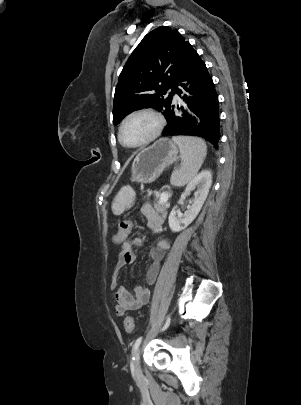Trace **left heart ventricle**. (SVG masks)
<instances>
[{"label":"left heart ventricle","mask_w":301,"mask_h":405,"mask_svg":"<svg viewBox=\"0 0 301 405\" xmlns=\"http://www.w3.org/2000/svg\"><path fill=\"white\" fill-rule=\"evenodd\" d=\"M155 120L147 115L130 119L122 131V139L128 145H135L145 140L155 129Z\"/></svg>","instance_id":"1"}]
</instances>
